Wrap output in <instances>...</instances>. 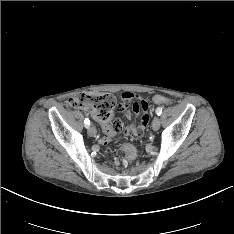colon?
Returning a JSON list of instances; mask_svg holds the SVG:
<instances>
[{
  "label": "colon",
  "instance_id": "colon-1",
  "mask_svg": "<svg viewBox=\"0 0 234 234\" xmlns=\"http://www.w3.org/2000/svg\"><path fill=\"white\" fill-rule=\"evenodd\" d=\"M149 99L153 103L170 102V100L164 96L154 94H151ZM67 105L73 108L90 111L99 121L111 123V120L114 118L113 109L115 107V100L113 96L108 93H81L70 98ZM118 149L126 153V160L128 162H132L136 158V150L131 144L120 143Z\"/></svg>",
  "mask_w": 234,
  "mask_h": 234
}]
</instances>
